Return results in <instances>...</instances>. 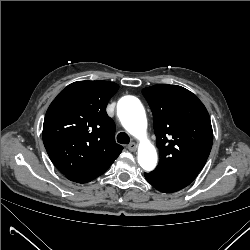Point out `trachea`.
Returning <instances> with one entry per match:
<instances>
[{
  "label": "trachea",
  "instance_id": "trachea-1",
  "mask_svg": "<svg viewBox=\"0 0 250 250\" xmlns=\"http://www.w3.org/2000/svg\"><path fill=\"white\" fill-rule=\"evenodd\" d=\"M117 141L120 144H129L130 138H129L128 134L121 132L117 135Z\"/></svg>",
  "mask_w": 250,
  "mask_h": 250
}]
</instances>
